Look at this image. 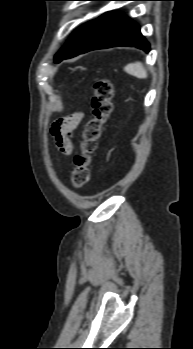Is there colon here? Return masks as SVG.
<instances>
[{"label":"colon","instance_id":"obj_1","mask_svg":"<svg viewBox=\"0 0 193 349\" xmlns=\"http://www.w3.org/2000/svg\"><path fill=\"white\" fill-rule=\"evenodd\" d=\"M113 95L114 88L109 79L102 78L95 83L92 117L85 125L79 151L73 158L71 183L74 188H82L89 181L92 156L97 148L103 125L113 110Z\"/></svg>","mask_w":193,"mask_h":349}]
</instances>
